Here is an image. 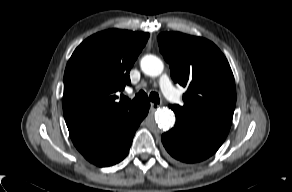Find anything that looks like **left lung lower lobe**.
Masks as SVG:
<instances>
[{
  "instance_id": "obj_1",
  "label": "left lung lower lobe",
  "mask_w": 292,
  "mask_h": 192,
  "mask_svg": "<svg viewBox=\"0 0 292 192\" xmlns=\"http://www.w3.org/2000/svg\"><path fill=\"white\" fill-rule=\"evenodd\" d=\"M228 132L214 126L185 123L176 119L175 126L164 133L161 140L175 160L196 163L213 155L224 142Z\"/></svg>"
}]
</instances>
